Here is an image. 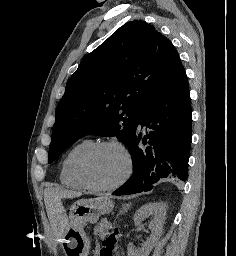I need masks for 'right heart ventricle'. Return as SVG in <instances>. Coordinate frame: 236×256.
<instances>
[{
	"mask_svg": "<svg viewBox=\"0 0 236 256\" xmlns=\"http://www.w3.org/2000/svg\"><path fill=\"white\" fill-rule=\"evenodd\" d=\"M94 145L91 139H83L75 144L63 157L60 165V182L72 189L83 190L84 185L78 175V166L82 156Z\"/></svg>",
	"mask_w": 236,
	"mask_h": 256,
	"instance_id": "e07e8e85",
	"label": "right heart ventricle"
}]
</instances>
